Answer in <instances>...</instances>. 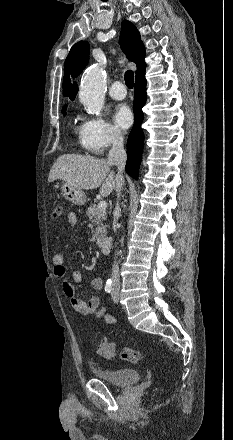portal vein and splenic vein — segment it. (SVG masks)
<instances>
[{
  "mask_svg": "<svg viewBox=\"0 0 233 440\" xmlns=\"http://www.w3.org/2000/svg\"><path fill=\"white\" fill-rule=\"evenodd\" d=\"M107 208V202L106 201H100L98 203V209L105 210Z\"/></svg>",
  "mask_w": 233,
  "mask_h": 440,
  "instance_id": "obj_1",
  "label": "portal vein and splenic vein"
}]
</instances>
